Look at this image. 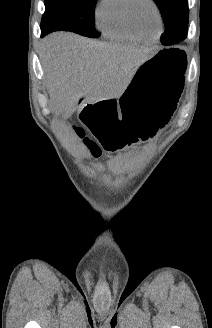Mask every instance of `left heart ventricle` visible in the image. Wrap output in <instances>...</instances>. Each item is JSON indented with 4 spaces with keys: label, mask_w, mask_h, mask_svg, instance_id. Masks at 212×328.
I'll return each mask as SVG.
<instances>
[{
    "label": "left heart ventricle",
    "mask_w": 212,
    "mask_h": 328,
    "mask_svg": "<svg viewBox=\"0 0 212 328\" xmlns=\"http://www.w3.org/2000/svg\"><path fill=\"white\" fill-rule=\"evenodd\" d=\"M135 18L141 29L154 35L158 30V18L153 7L145 0H140L135 6Z\"/></svg>",
    "instance_id": "obj_1"
}]
</instances>
